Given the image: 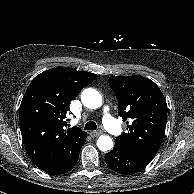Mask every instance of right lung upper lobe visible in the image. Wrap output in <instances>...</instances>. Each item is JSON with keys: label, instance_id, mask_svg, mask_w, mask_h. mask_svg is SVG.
Segmentation results:
<instances>
[{"label": "right lung upper lobe", "instance_id": "1", "mask_svg": "<svg viewBox=\"0 0 194 194\" xmlns=\"http://www.w3.org/2000/svg\"><path fill=\"white\" fill-rule=\"evenodd\" d=\"M97 78L72 68H53L37 75L20 105L22 140L31 161L49 171L74 154L87 133L78 127L65 130L70 102Z\"/></svg>", "mask_w": 194, "mask_h": 194}]
</instances>
